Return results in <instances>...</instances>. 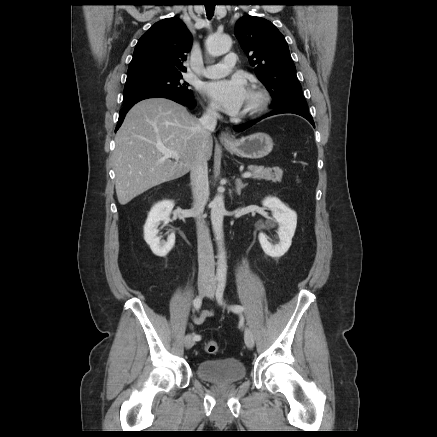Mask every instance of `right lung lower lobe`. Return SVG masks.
I'll return each instance as SVG.
<instances>
[{
    "instance_id": "98d812e1",
    "label": "right lung lower lobe",
    "mask_w": 437,
    "mask_h": 437,
    "mask_svg": "<svg viewBox=\"0 0 437 437\" xmlns=\"http://www.w3.org/2000/svg\"><path fill=\"white\" fill-rule=\"evenodd\" d=\"M158 97L171 99V100H173L177 103H180L184 106H188L189 108H192L195 105V101H194L193 96L157 95V96H152V97H148V98H158ZM144 99H146V98H144ZM141 100H143V99H141ZM138 101H140V100L123 105V108L120 110L119 119H118V123H117L115 131H117L119 129V127L121 126V124L124 120V117H125L126 113L129 111V109Z\"/></svg>"
}]
</instances>
